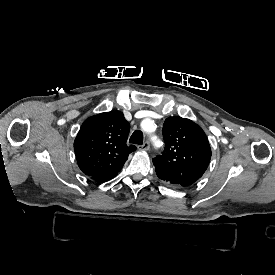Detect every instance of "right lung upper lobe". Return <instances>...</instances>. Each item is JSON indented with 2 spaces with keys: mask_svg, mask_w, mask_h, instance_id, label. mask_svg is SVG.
<instances>
[{
  "mask_svg": "<svg viewBox=\"0 0 275 275\" xmlns=\"http://www.w3.org/2000/svg\"><path fill=\"white\" fill-rule=\"evenodd\" d=\"M129 123L121 111L91 116L82 124L74 141L79 168L89 177L117 174L128 155L136 150L127 145Z\"/></svg>",
  "mask_w": 275,
  "mask_h": 275,
  "instance_id": "obj_1",
  "label": "right lung upper lobe"
}]
</instances>
